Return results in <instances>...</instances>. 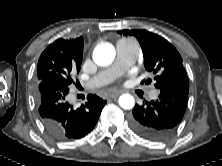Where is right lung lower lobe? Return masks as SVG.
I'll return each mask as SVG.
<instances>
[{
	"mask_svg": "<svg viewBox=\"0 0 222 166\" xmlns=\"http://www.w3.org/2000/svg\"><path fill=\"white\" fill-rule=\"evenodd\" d=\"M38 84L35 96L41 121L54 139H79L94 128L106 101L90 94L86 104L75 109L66 101L69 92L67 84L53 78Z\"/></svg>",
	"mask_w": 222,
	"mask_h": 166,
	"instance_id": "1",
	"label": "right lung lower lobe"
}]
</instances>
